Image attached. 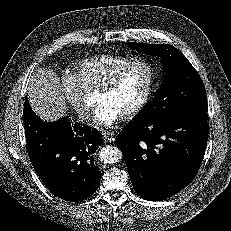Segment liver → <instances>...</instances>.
<instances>
[{
    "label": "liver",
    "instance_id": "6515ba94",
    "mask_svg": "<svg viewBox=\"0 0 231 231\" xmlns=\"http://www.w3.org/2000/svg\"><path fill=\"white\" fill-rule=\"evenodd\" d=\"M27 95L32 109L43 121H57L66 115L65 97L53 70H36L29 81Z\"/></svg>",
    "mask_w": 231,
    "mask_h": 231
}]
</instances>
